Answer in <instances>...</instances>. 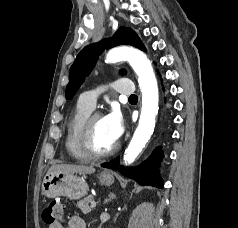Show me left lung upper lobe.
I'll return each instance as SVG.
<instances>
[{
	"label": "left lung upper lobe",
	"mask_w": 238,
	"mask_h": 228,
	"mask_svg": "<svg viewBox=\"0 0 238 228\" xmlns=\"http://www.w3.org/2000/svg\"><path fill=\"white\" fill-rule=\"evenodd\" d=\"M118 45H132L146 51L138 35L131 28L126 27H120L111 40L105 39L101 42L86 46L79 52L75 62L70 68L69 83L66 88V99H71L75 95L85 77L93 69L99 54L105 48ZM122 73L125 74L126 71L123 70Z\"/></svg>",
	"instance_id": "5c2ea615"
}]
</instances>
